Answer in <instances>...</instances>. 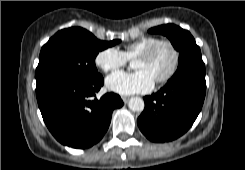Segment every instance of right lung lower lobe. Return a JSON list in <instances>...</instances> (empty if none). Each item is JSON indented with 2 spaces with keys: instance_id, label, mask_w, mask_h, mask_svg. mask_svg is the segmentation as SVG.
Returning <instances> with one entry per match:
<instances>
[{
  "instance_id": "1",
  "label": "right lung lower lobe",
  "mask_w": 245,
  "mask_h": 170,
  "mask_svg": "<svg viewBox=\"0 0 245 170\" xmlns=\"http://www.w3.org/2000/svg\"><path fill=\"white\" fill-rule=\"evenodd\" d=\"M102 76L83 81L56 84L36 93L45 124L52 135L63 145L89 148L106 133L114 109L123 101L115 93L93 99L103 86Z\"/></svg>"
}]
</instances>
